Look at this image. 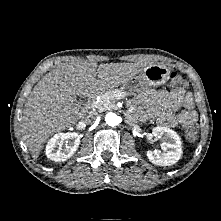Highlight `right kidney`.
<instances>
[{
    "instance_id": "obj_1",
    "label": "right kidney",
    "mask_w": 221,
    "mask_h": 221,
    "mask_svg": "<svg viewBox=\"0 0 221 221\" xmlns=\"http://www.w3.org/2000/svg\"><path fill=\"white\" fill-rule=\"evenodd\" d=\"M80 144L77 133H57L46 145V155L50 160L66 161L76 152Z\"/></svg>"
}]
</instances>
